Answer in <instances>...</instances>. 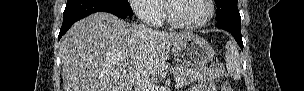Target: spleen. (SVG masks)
Segmentation results:
<instances>
[{"label":"spleen","instance_id":"spleen-1","mask_svg":"<svg viewBox=\"0 0 304 91\" xmlns=\"http://www.w3.org/2000/svg\"><path fill=\"white\" fill-rule=\"evenodd\" d=\"M226 68L228 74L234 80H240L242 76V59L238 49L232 42L226 44Z\"/></svg>","mask_w":304,"mask_h":91}]
</instances>
